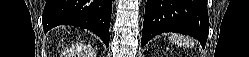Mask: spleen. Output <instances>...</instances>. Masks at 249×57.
<instances>
[{"instance_id":"1","label":"spleen","mask_w":249,"mask_h":57,"mask_svg":"<svg viewBox=\"0 0 249 57\" xmlns=\"http://www.w3.org/2000/svg\"><path fill=\"white\" fill-rule=\"evenodd\" d=\"M169 39L170 41L176 43L177 45L190 46L194 44V42L190 38L184 37L182 35L173 34L172 36L169 37Z\"/></svg>"}]
</instances>
